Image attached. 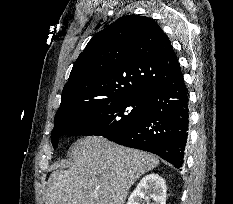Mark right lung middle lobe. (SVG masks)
Instances as JSON below:
<instances>
[{
	"label": "right lung middle lobe",
	"instance_id": "right-lung-middle-lobe-1",
	"mask_svg": "<svg viewBox=\"0 0 233 204\" xmlns=\"http://www.w3.org/2000/svg\"><path fill=\"white\" fill-rule=\"evenodd\" d=\"M147 97L135 96L106 102L88 112L77 113L55 125L51 139L54 148L59 137L70 135H99L107 139L134 126L147 114Z\"/></svg>",
	"mask_w": 233,
	"mask_h": 204
}]
</instances>
